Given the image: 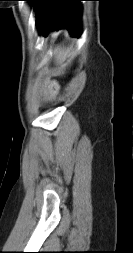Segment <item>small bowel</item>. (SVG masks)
Listing matches in <instances>:
<instances>
[{
    "label": "small bowel",
    "mask_w": 133,
    "mask_h": 253,
    "mask_svg": "<svg viewBox=\"0 0 133 253\" xmlns=\"http://www.w3.org/2000/svg\"><path fill=\"white\" fill-rule=\"evenodd\" d=\"M57 90H58L57 85L53 84V85L49 86L47 89L48 97L54 96L56 94Z\"/></svg>",
    "instance_id": "1"
}]
</instances>
